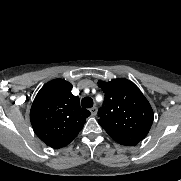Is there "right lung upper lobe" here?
<instances>
[{
  "mask_svg": "<svg viewBox=\"0 0 181 181\" xmlns=\"http://www.w3.org/2000/svg\"><path fill=\"white\" fill-rule=\"evenodd\" d=\"M72 84L63 79L47 82L38 92L30 110L35 134L48 146L58 149L68 145L83 128L87 109L80 107Z\"/></svg>",
  "mask_w": 181,
  "mask_h": 181,
  "instance_id": "right-lung-upper-lobe-1",
  "label": "right lung upper lobe"
}]
</instances>
